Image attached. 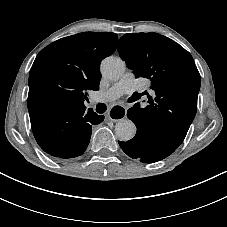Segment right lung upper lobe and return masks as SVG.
<instances>
[{
    "label": "right lung upper lobe",
    "mask_w": 227,
    "mask_h": 227,
    "mask_svg": "<svg viewBox=\"0 0 227 227\" xmlns=\"http://www.w3.org/2000/svg\"><path fill=\"white\" fill-rule=\"evenodd\" d=\"M117 42L112 32H83L42 49L29 74V112L40 99L60 108H86L87 91L99 89L100 62L114 53Z\"/></svg>",
    "instance_id": "1"
}]
</instances>
